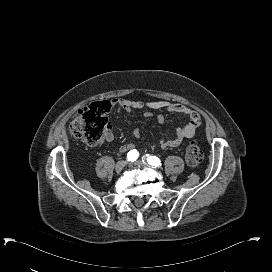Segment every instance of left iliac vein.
I'll list each match as a JSON object with an SVG mask.
<instances>
[{"label": "left iliac vein", "instance_id": "4c4485c4", "mask_svg": "<svg viewBox=\"0 0 272 272\" xmlns=\"http://www.w3.org/2000/svg\"><path fill=\"white\" fill-rule=\"evenodd\" d=\"M133 164L137 166H147V163L142 160L135 161Z\"/></svg>", "mask_w": 272, "mask_h": 272}]
</instances>
